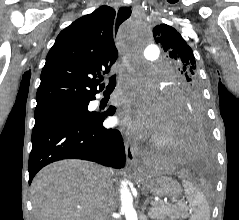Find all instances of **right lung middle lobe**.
<instances>
[{"label":"right lung middle lobe","instance_id":"right-lung-middle-lobe-1","mask_svg":"<svg viewBox=\"0 0 239 220\" xmlns=\"http://www.w3.org/2000/svg\"><path fill=\"white\" fill-rule=\"evenodd\" d=\"M88 103L55 104L35 109V120L41 118H61L73 121H90L96 114L87 110Z\"/></svg>","mask_w":239,"mask_h":220}]
</instances>
